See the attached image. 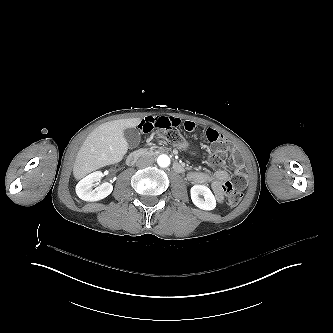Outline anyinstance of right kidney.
Wrapping results in <instances>:
<instances>
[{"label":"right kidney","mask_w":333,"mask_h":333,"mask_svg":"<svg viewBox=\"0 0 333 333\" xmlns=\"http://www.w3.org/2000/svg\"><path fill=\"white\" fill-rule=\"evenodd\" d=\"M104 178L102 171H95L83 178L76 186L78 197L84 201H100L109 196L113 191V185L109 182L98 184Z\"/></svg>","instance_id":"ca27d5eb"}]
</instances>
